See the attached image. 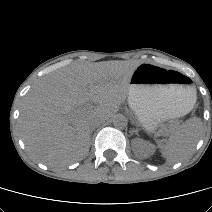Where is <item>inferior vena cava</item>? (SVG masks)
<instances>
[{
  "label": "inferior vena cava",
  "instance_id": "1",
  "mask_svg": "<svg viewBox=\"0 0 212 212\" xmlns=\"http://www.w3.org/2000/svg\"><path fill=\"white\" fill-rule=\"evenodd\" d=\"M103 122V119L98 117V116H92L89 119V126L91 128H95L96 126H98L100 123Z\"/></svg>",
  "mask_w": 212,
  "mask_h": 212
}]
</instances>
